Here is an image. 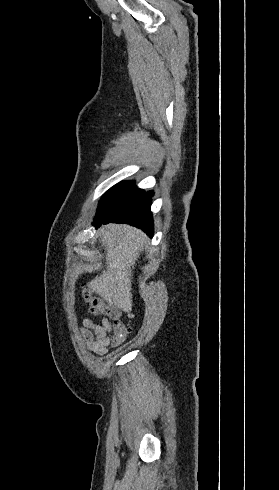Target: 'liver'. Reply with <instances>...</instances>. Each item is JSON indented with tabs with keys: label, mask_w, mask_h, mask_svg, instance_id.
<instances>
[{
	"label": "liver",
	"mask_w": 279,
	"mask_h": 490,
	"mask_svg": "<svg viewBox=\"0 0 279 490\" xmlns=\"http://www.w3.org/2000/svg\"><path fill=\"white\" fill-rule=\"evenodd\" d=\"M98 238L105 246L106 270L87 286L110 306L132 312V270L140 252H144L148 238L141 230L124 224L102 226Z\"/></svg>",
	"instance_id": "1"
}]
</instances>
